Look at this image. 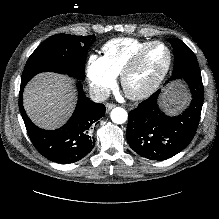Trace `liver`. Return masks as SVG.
Instances as JSON below:
<instances>
[{
	"label": "liver",
	"mask_w": 219,
	"mask_h": 219,
	"mask_svg": "<svg viewBox=\"0 0 219 219\" xmlns=\"http://www.w3.org/2000/svg\"><path fill=\"white\" fill-rule=\"evenodd\" d=\"M75 101L72 80L55 73L38 74L27 84L23 94L29 118L44 129L63 125L70 117Z\"/></svg>",
	"instance_id": "6515ba94"
}]
</instances>
